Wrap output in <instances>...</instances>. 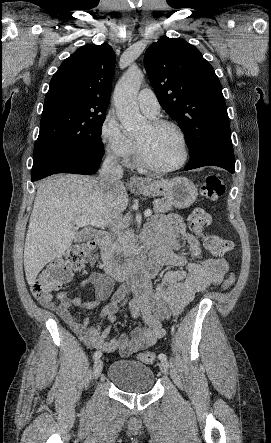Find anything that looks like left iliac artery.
<instances>
[{
  "mask_svg": "<svg viewBox=\"0 0 271 443\" xmlns=\"http://www.w3.org/2000/svg\"><path fill=\"white\" fill-rule=\"evenodd\" d=\"M158 358H159L160 360H167V356H166L165 354H163V353L159 354V355H158Z\"/></svg>",
  "mask_w": 271,
  "mask_h": 443,
  "instance_id": "1",
  "label": "left iliac artery"
}]
</instances>
